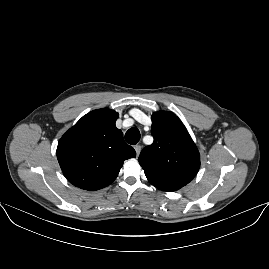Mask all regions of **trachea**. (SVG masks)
I'll return each instance as SVG.
<instances>
[{
  "instance_id": "trachea-1",
  "label": "trachea",
  "mask_w": 269,
  "mask_h": 269,
  "mask_svg": "<svg viewBox=\"0 0 269 269\" xmlns=\"http://www.w3.org/2000/svg\"><path fill=\"white\" fill-rule=\"evenodd\" d=\"M140 137L141 134L137 128H130L125 134L126 141L131 145L137 144L140 140Z\"/></svg>"
}]
</instances>
